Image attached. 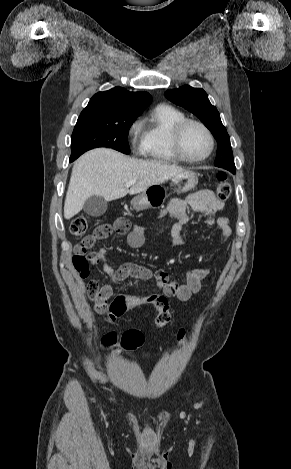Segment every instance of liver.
<instances>
[{
    "mask_svg": "<svg viewBox=\"0 0 291 469\" xmlns=\"http://www.w3.org/2000/svg\"><path fill=\"white\" fill-rule=\"evenodd\" d=\"M185 171L176 165L128 157L108 148L90 150L72 168L64 203V218L78 214L92 195L112 201L145 191ZM135 181L128 189L126 183Z\"/></svg>",
    "mask_w": 291,
    "mask_h": 469,
    "instance_id": "6515ba94",
    "label": "liver"
}]
</instances>
